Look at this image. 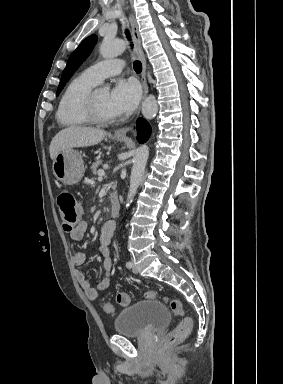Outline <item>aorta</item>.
I'll return each instance as SVG.
<instances>
[{"label":"aorta","mask_w":283,"mask_h":384,"mask_svg":"<svg viewBox=\"0 0 283 384\" xmlns=\"http://www.w3.org/2000/svg\"><path fill=\"white\" fill-rule=\"evenodd\" d=\"M126 49V43L121 39H104L100 46V54L105 59H110L119 56ZM108 90L109 87L107 86ZM158 112V103L153 95H149L142 103V114L145 119H153ZM149 156V147L146 144L141 145L133 158V166L130 176V186L127 195L129 205L132 202L134 195L142 181L144 170Z\"/></svg>","instance_id":"1"}]
</instances>
